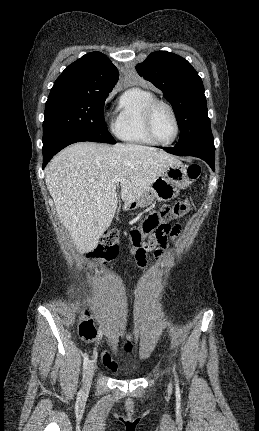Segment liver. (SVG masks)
Returning a JSON list of instances; mask_svg holds the SVG:
<instances>
[{"label": "liver", "mask_w": 259, "mask_h": 431, "mask_svg": "<svg viewBox=\"0 0 259 431\" xmlns=\"http://www.w3.org/2000/svg\"><path fill=\"white\" fill-rule=\"evenodd\" d=\"M179 159L155 148L80 142L62 150L48 164L45 182L57 214L80 253L93 250L114 218L117 183L125 204L138 199Z\"/></svg>", "instance_id": "6515ba94"}]
</instances>
